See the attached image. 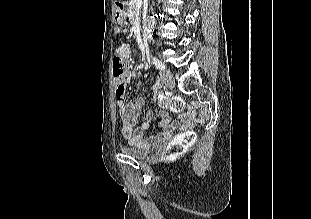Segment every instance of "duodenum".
Returning <instances> with one entry per match:
<instances>
[{
	"mask_svg": "<svg viewBox=\"0 0 311 219\" xmlns=\"http://www.w3.org/2000/svg\"><path fill=\"white\" fill-rule=\"evenodd\" d=\"M126 10V7L123 5V4H120L119 7H118V11L120 13H123L125 12ZM148 32H147V40H149L151 37H152V33H153V30H154V24L152 22H149L146 26Z\"/></svg>",
	"mask_w": 311,
	"mask_h": 219,
	"instance_id": "duodenum-1",
	"label": "duodenum"
}]
</instances>
